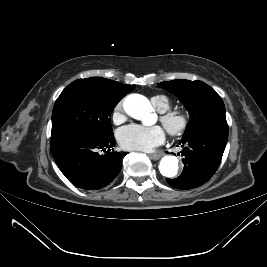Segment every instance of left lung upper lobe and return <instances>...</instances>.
Masks as SVG:
<instances>
[{"instance_id": "5c2ea615", "label": "left lung upper lobe", "mask_w": 267, "mask_h": 267, "mask_svg": "<svg viewBox=\"0 0 267 267\" xmlns=\"http://www.w3.org/2000/svg\"><path fill=\"white\" fill-rule=\"evenodd\" d=\"M158 87L176 95L191 114L183 138L207 130L228 131L223 100L204 82L173 80Z\"/></svg>"}]
</instances>
